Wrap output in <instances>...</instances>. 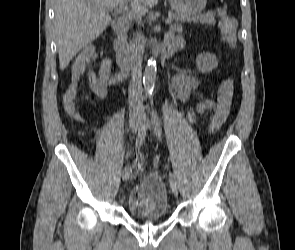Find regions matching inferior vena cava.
Returning <instances> with one entry per match:
<instances>
[{"label": "inferior vena cava", "mask_w": 295, "mask_h": 250, "mask_svg": "<svg viewBox=\"0 0 295 250\" xmlns=\"http://www.w3.org/2000/svg\"><path fill=\"white\" fill-rule=\"evenodd\" d=\"M133 72L129 85V111L131 116H143V97L141 82V59L144 45L141 34H137L131 45Z\"/></svg>", "instance_id": "inferior-vena-cava-1"}]
</instances>
